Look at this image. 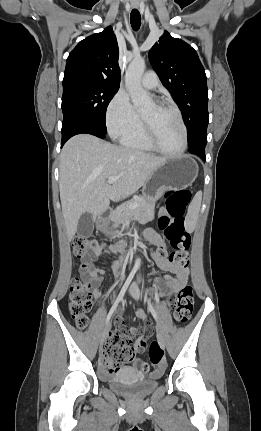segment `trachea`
I'll return each instance as SVG.
<instances>
[{
    "label": "trachea",
    "instance_id": "trachea-1",
    "mask_svg": "<svg viewBox=\"0 0 261 431\" xmlns=\"http://www.w3.org/2000/svg\"><path fill=\"white\" fill-rule=\"evenodd\" d=\"M130 22L133 30L138 31L141 25V15L137 9L131 11Z\"/></svg>",
    "mask_w": 261,
    "mask_h": 431
}]
</instances>
